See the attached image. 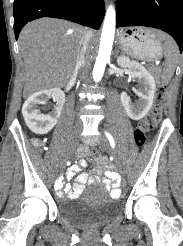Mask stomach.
I'll list each match as a JSON object with an SVG mask.
<instances>
[{
    "mask_svg": "<svg viewBox=\"0 0 183 246\" xmlns=\"http://www.w3.org/2000/svg\"><path fill=\"white\" fill-rule=\"evenodd\" d=\"M156 32L146 28H127L119 32L118 40L126 53L144 60H156L163 52Z\"/></svg>",
    "mask_w": 183,
    "mask_h": 246,
    "instance_id": "0dacf381",
    "label": "stomach"
}]
</instances>
